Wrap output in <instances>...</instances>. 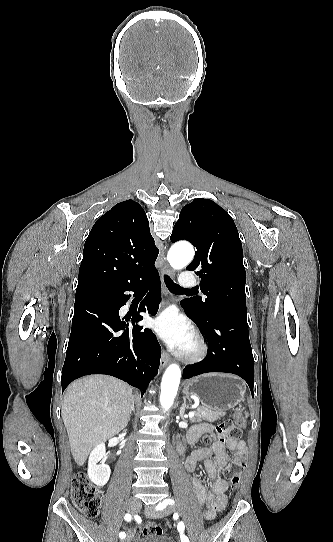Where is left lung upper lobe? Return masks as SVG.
I'll use <instances>...</instances> for the list:
<instances>
[{
	"label": "left lung upper lobe",
	"mask_w": 333,
	"mask_h": 542,
	"mask_svg": "<svg viewBox=\"0 0 333 542\" xmlns=\"http://www.w3.org/2000/svg\"><path fill=\"white\" fill-rule=\"evenodd\" d=\"M170 239L188 240L197 249L186 269L201 268L196 274L206 298L197 296L182 302L197 326H211L215 315L227 310L246 314L242 243L233 219L224 209L209 199L193 200L182 208Z\"/></svg>",
	"instance_id": "left-lung-upper-lobe-1"
}]
</instances>
